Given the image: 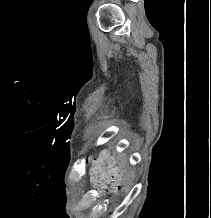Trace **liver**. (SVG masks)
<instances>
[{"label": "liver", "instance_id": "6515ba94", "mask_svg": "<svg viewBox=\"0 0 211 218\" xmlns=\"http://www.w3.org/2000/svg\"><path fill=\"white\" fill-rule=\"evenodd\" d=\"M134 176H135L134 172H130V174H127V176L125 178V182L127 184V188H125V190H128V186H129L130 182H132Z\"/></svg>", "mask_w": 211, "mask_h": 218}]
</instances>
